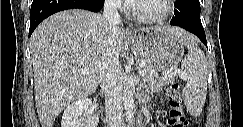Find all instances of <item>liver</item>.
<instances>
[{
    "instance_id": "liver-1",
    "label": "liver",
    "mask_w": 243,
    "mask_h": 127,
    "mask_svg": "<svg viewBox=\"0 0 243 127\" xmlns=\"http://www.w3.org/2000/svg\"><path fill=\"white\" fill-rule=\"evenodd\" d=\"M162 28L176 36L189 35L179 28ZM110 38L119 56L126 40L123 31L117 27L111 33L101 14L80 9L58 12L35 29L30 47L42 127H53L67 105L95 92Z\"/></svg>"
}]
</instances>
